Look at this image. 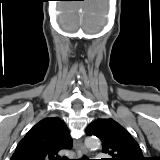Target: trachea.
I'll return each instance as SVG.
<instances>
[{"label": "trachea", "mask_w": 160, "mask_h": 160, "mask_svg": "<svg viewBox=\"0 0 160 160\" xmlns=\"http://www.w3.org/2000/svg\"><path fill=\"white\" fill-rule=\"evenodd\" d=\"M65 160H68V159H65ZM77 160H88V158L84 156L83 158L77 159Z\"/></svg>", "instance_id": "trachea-1"}]
</instances>
